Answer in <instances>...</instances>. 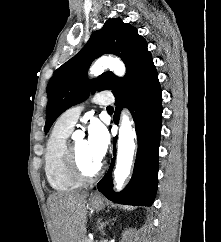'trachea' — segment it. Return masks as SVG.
<instances>
[{"instance_id": "1", "label": "trachea", "mask_w": 221, "mask_h": 242, "mask_svg": "<svg viewBox=\"0 0 221 242\" xmlns=\"http://www.w3.org/2000/svg\"><path fill=\"white\" fill-rule=\"evenodd\" d=\"M113 110H114V109H113L112 106H108V107H107V111H110V112H111V111H113Z\"/></svg>"}]
</instances>
